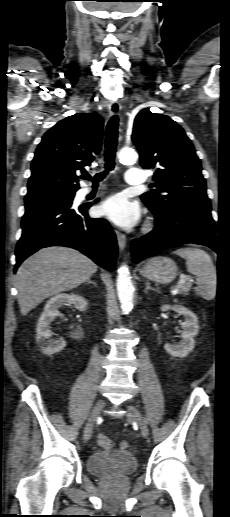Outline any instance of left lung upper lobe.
<instances>
[{"instance_id": "5c2ea615", "label": "left lung upper lobe", "mask_w": 230, "mask_h": 517, "mask_svg": "<svg viewBox=\"0 0 230 517\" xmlns=\"http://www.w3.org/2000/svg\"><path fill=\"white\" fill-rule=\"evenodd\" d=\"M132 141L143 168L155 169L157 190L141 195L153 213L189 204H210L201 163L184 130L171 118L141 110L134 121Z\"/></svg>"}]
</instances>
